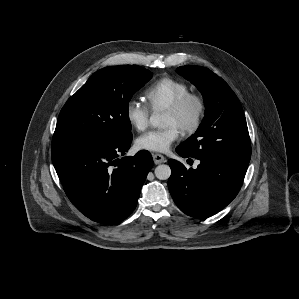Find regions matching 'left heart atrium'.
<instances>
[{
	"label": "left heart atrium",
	"mask_w": 299,
	"mask_h": 299,
	"mask_svg": "<svg viewBox=\"0 0 299 299\" xmlns=\"http://www.w3.org/2000/svg\"><path fill=\"white\" fill-rule=\"evenodd\" d=\"M180 136L179 128L170 125L165 129L151 130L136 139V147L140 150L164 152Z\"/></svg>",
	"instance_id": "39dd6f15"
}]
</instances>
